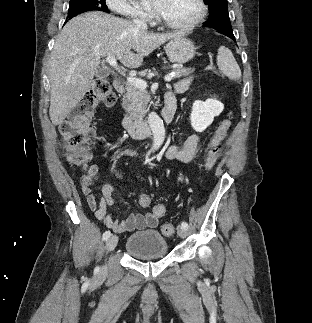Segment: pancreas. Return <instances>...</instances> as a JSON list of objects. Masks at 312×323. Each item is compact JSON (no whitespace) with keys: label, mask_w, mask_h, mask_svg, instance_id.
<instances>
[{"label":"pancreas","mask_w":312,"mask_h":323,"mask_svg":"<svg viewBox=\"0 0 312 323\" xmlns=\"http://www.w3.org/2000/svg\"><path fill=\"white\" fill-rule=\"evenodd\" d=\"M173 78H184V76H190L193 74V68H173ZM127 90L123 96V108H125L130 118L136 120V122H142L143 116H145L146 106L149 102V94L147 90H140L135 88L130 82H127L125 86Z\"/></svg>","instance_id":"cf45deb5"}]
</instances>
